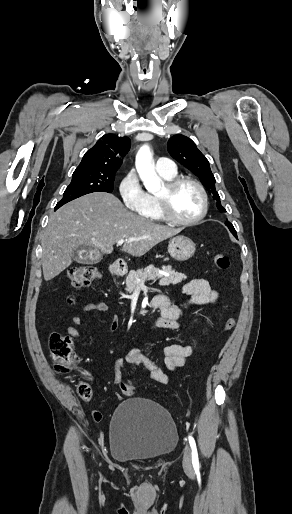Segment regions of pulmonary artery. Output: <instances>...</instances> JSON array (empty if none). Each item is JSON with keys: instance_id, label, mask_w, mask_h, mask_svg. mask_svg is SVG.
<instances>
[{"instance_id": "e3ab8cb5", "label": "pulmonary artery", "mask_w": 292, "mask_h": 514, "mask_svg": "<svg viewBox=\"0 0 292 514\" xmlns=\"http://www.w3.org/2000/svg\"><path fill=\"white\" fill-rule=\"evenodd\" d=\"M158 173L166 177H173L177 174V168L171 156H161L159 158Z\"/></svg>"}]
</instances>
